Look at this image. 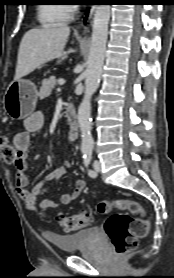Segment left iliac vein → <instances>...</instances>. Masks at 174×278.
<instances>
[{
	"label": "left iliac vein",
	"instance_id": "4c4485c4",
	"mask_svg": "<svg viewBox=\"0 0 174 278\" xmlns=\"http://www.w3.org/2000/svg\"><path fill=\"white\" fill-rule=\"evenodd\" d=\"M93 166H94V169L96 172H99L100 169H101V163L99 160H95L94 163H93Z\"/></svg>",
	"mask_w": 174,
	"mask_h": 278
}]
</instances>
